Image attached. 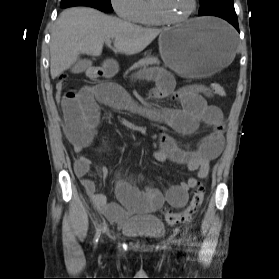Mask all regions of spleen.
Returning a JSON list of instances; mask_svg holds the SVG:
<instances>
[{"label": "spleen", "mask_w": 279, "mask_h": 279, "mask_svg": "<svg viewBox=\"0 0 279 279\" xmlns=\"http://www.w3.org/2000/svg\"><path fill=\"white\" fill-rule=\"evenodd\" d=\"M223 30L226 31L227 29H226V28H223Z\"/></svg>", "instance_id": "1"}]
</instances>
